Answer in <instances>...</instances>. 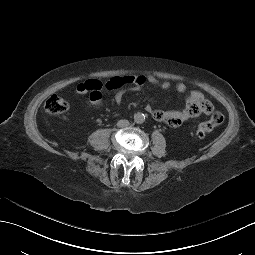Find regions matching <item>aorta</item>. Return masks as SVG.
Segmentation results:
<instances>
[{
    "label": "aorta",
    "instance_id": "1",
    "mask_svg": "<svg viewBox=\"0 0 255 255\" xmlns=\"http://www.w3.org/2000/svg\"><path fill=\"white\" fill-rule=\"evenodd\" d=\"M145 120V115L143 113H136L134 114V122L137 124H142Z\"/></svg>",
    "mask_w": 255,
    "mask_h": 255
}]
</instances>
